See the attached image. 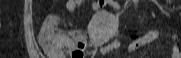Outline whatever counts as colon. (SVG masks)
Segmentation results:
<instances>
[{"label": "colon", "instance_id": "colon-1", "mask_svg": "<svg viewBox=\"0 0 181 58\" xmlns=\"http://www.w3.org/2000/svg\"><path fill=\"white\" fill-rule=\"evenodd\" d=\"M58 23L56 17H50L41 29L40 37L42 44L50 51L58 53L71 52V58H83L85 40L63 34L55 29Z\"/></svg>", "mask_w": 181, "mask_h": 58}]
</instances>
